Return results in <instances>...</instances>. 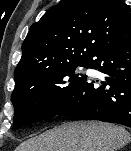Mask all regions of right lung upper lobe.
Returning <instances> with one entry per match:
<instances>
[{
    "instance_id": "cb5924a9",
    "label": "right lung upper lobe",
    "mask_w": 131,
    "mask_h": 151,
    "mask_svg": "<svg viewBox=\"0 0 131 151\" xmlns=\"http://www.w3.org/2000/svg\"><path fill=\"white\" fill-rule=\"evenodd\" d=\"M129 33L131 13L121 0H61L30 27L15 88L53 70L88 63L97 49Z\"/></svg>"
}]
</instances>
